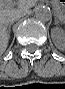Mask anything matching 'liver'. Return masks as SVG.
<instances>
[{"instance_id":"obj_1","label":"liver","mask_w":65,"mask_h":89,"mask_svg":"<svg viewBox=\"0 0 65 89\" xmlns=\"http://www.w3.org/2000/svg\"><path fill=\"white\" fill-rule=\"evenodd\" d=\"M35 4L34 0L20 1H1L0 3V53L7 49L10 35L7 32L9 20L20 13H28L29 9ZM17 5L18 8H13ZM2 19V20H1Z\"/></svg>"}]
</instances>
